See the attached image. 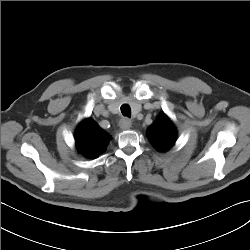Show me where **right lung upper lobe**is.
<instances>
[{
	"label": "right lung upper lobe",
	"mask_w": 250,
	"mask_h": 250,
	"mask_svg": "<svg viewBox=\"0 0 250 250\" xmlns=\"http://www.w3.org/2000/svg\"><path fill=\"white\" fill-rule=\"evenodd\" d=\"M109 140L110 135L90 118L83 120L75 132L78 151L89 158H95L105 151Z\"/></svg>",
	"instance_id": "right-lung-upper-lobe-1"
}]
</instances>
